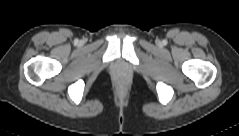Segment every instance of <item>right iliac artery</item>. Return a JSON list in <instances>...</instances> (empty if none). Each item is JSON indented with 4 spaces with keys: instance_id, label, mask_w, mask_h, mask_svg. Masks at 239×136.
Returning a JSON list of instances; mask_svg holds the SVG:
<instances>
[{
    "instance_id": "1",
    "label": "right iliac artery",
    "mask_w": 239,
    "mask_h": 136,
    "mask_svg": "<svg viewBox=\"0 0 239 136\" xmlns=\"http://www.w3.org/2000/svg\"><path fill=\"white\" fill-rule=\"evenodd\" d=\"M75 43H78V40H75Z\"/></svg>"
}]
</instances>
